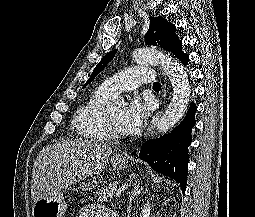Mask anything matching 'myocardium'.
<instances>
[{
	"instance_id": "f54148a6",
	"label": "myocardium",
	"mask_w": 255,
	"mask_h": 217,
	"mask_svg": "<svg viewBox=\"0 0 255 217\" xmlns=\"http://www.w3.org/2000/svg\"><path fill=\"white\" fill-rule=\"evenodd\" d=\"M106 130L108 137L112 139H121L124 135L118 131L112 121L109 111H106L105 115Z\"/></svg>"
}]
</instances>
